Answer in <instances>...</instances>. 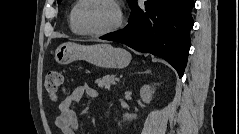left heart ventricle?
Returning a JSON list of instances; mask_svg holds the SVG:
<instances>
[{
    "label": "left heart ventricle",
    "instance_id": "b2bd125f",
    "mask_svg": "<svg viewBox=\"0 0 239 134\" xmlns=\"http://www.w3.org/2000/svg\"><path fill=\"white\" fill-rule=\"evenodd\" d=\"M117 19L115 8L105 0L88 2L82 12V21L89 30L100 31L112 26Z\"/></svg>",
    "mask_w": 239,
    "mask_h": 134
}]
</instances>
